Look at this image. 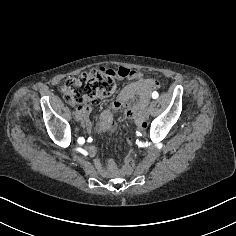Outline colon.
<instances>
[{"label":"colon","mask_w":236,"mask_h":236,"mask_svg":"<svg viewBox=\"0 0 236 236\" xmlns=\"http://www.w3.org/2000/svg\"><path fill=\"white\" fill-rule=\"evenodd\" d=\"M130 75L126 68H99L82 73L78 77L67 78L61 86L64 99L69 104L93 101L111 95L116 88L115 79ZM135 168V161L129 155L123 165V172L130 175Z\"/></svg>","instance_id":"colon-1"}]
</instances>
